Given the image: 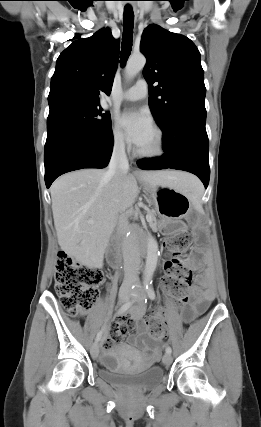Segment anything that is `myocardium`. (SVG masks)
Masks as SVG:
<instances>
[{"mask_svg":"<svg viewBox=\"0 0 261 427\" xmlns=\"http://www.w3.org/2000/svg\"><path fill=\"white\" fill-rule=\"evenodd\" d=\"M155 134V146L150 151L136 150V155L140 158L154 159L162 156L165 153V140L162 130L158 127L153 128Z\"/></svg>","mask_w":261,"mask_h":427,"instance_id":"obj_1","label":"myocardium"}]
</instances>
